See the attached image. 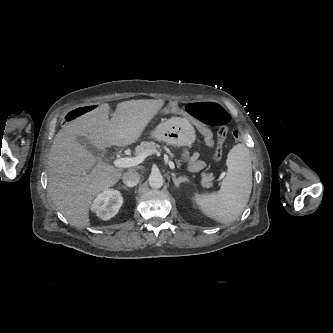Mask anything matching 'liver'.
<instances>
[{"label":"liver","instance_id":"obj_1","mask_svg":"<svg viewBox=\"0 0 333 333\" xmlns=\"http://www.w3.org/2000/svg\"><path fill=\"white\" fill-rule=\"evenodd\" d=\"M164 101L130 100L117 104L109 120V104L97 106L70 122L56 134L48 160V189L57 209L78 228L90 225L89 206L94 197L121 178L122 171L96 158L78 142L88 138L98 149L135 143Z\"/></svg>","mask_w":333,"mask_h":333}]
</instances>
